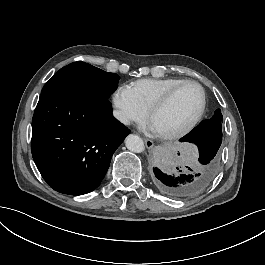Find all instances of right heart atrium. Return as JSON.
Instances as JSON below:
<instances>
[{"instance_id": "obj_1", "label": "right heart atrium", "mask_w": 265, "mask_h": 265, "mask_svg": "<svg viewBox=\"0 0 265 265\" xmlns=\"http://www.w3.org/2000/svg\"><path fill=\"white\" fill-rule=\"evenodd\" d=\"M135 97L129 92L126 85H119L116 88V93L112 100V117L115 122L121 127H129L132 124L142 126L146 122L147 112L144 109H139L134 116L133 106Z\"/></svg>"}]
</instances>
